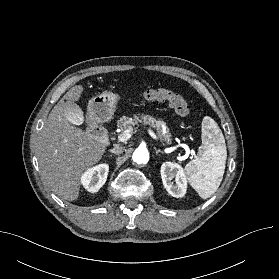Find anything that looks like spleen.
<instances>
[{
  "instance_id": "3e777b00",
  "label": "spleen",
  "mask_w": 279,
  "mask_h": 279,
  "mask_svg": "<svg viewBox=\"0 0 279 279\" xmlns=\"http://www.w3.org/2000/svg\"><path fill=\"white\" fill-rule=\"evenodd\" d=\"M202 145L197 157L185 166L191 186L202 199L210 198L222 181L227 150L221 129L211 117L202 121Z\"/></svg>"
}]
</instances>
